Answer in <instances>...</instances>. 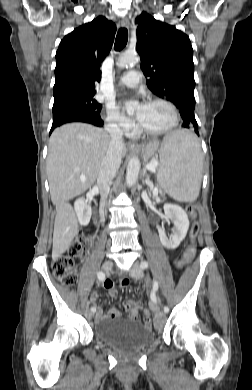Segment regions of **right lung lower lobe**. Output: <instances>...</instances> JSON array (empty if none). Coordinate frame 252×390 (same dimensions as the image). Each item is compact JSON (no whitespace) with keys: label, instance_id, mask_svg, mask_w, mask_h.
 <instances>
[{"label":"right lung lower lobe","instance_id":"right-lung-lower-lobe-1","mask_svg":"<svg viewBox=\"0 0 252 390\" xmlns=\"http://www.w3.org/2000/svg\"><path fill=\"white\" fill-rule=\"evenodd\" d=\"M68 122H85L99 127L103 126V121L101 119L92 118L81 114L68 113L53 117V124L50 134L54 128Z\"/></svg>","mask_w":252,"mask_h":390}]
</instances>
